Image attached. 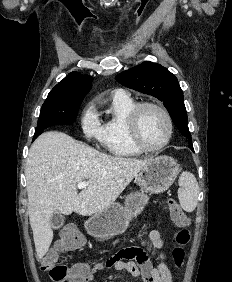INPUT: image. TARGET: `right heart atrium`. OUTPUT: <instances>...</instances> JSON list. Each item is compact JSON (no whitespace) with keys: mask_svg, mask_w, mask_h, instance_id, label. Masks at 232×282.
Masks as SVG:
<instances>
[{"mask_svg":"<svg viewBox=\"0 0 232 282\" xmlns=\"http://www.w3.org/2000/svg\"><path fill=\"white\" fill-rule=\"evenodd\" d=\"M81 127L90 140H101L102 126L93 107H88L81 117Z\"/></svg>","mask_w":232,"mask_h":282,"instance_id":"d8ad5b80","label":"right heart atrium"}]
</instances>
